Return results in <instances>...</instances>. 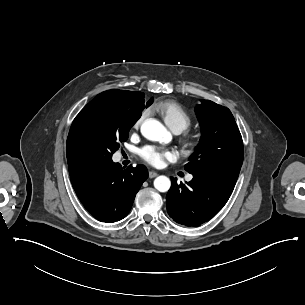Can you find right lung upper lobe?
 <instances>
[{
	"instance_id": "right-lung-upper-lobe-1",
	"label": "right lung upper lobe",
	"mask_w": 305,
	"mask_h": 305,
	"mask_svg": "<svg viewBox=\"0 0 305 305\" xmlns=\"http://www.w3.org/2000/svg\"><path fill=\"white\" fill-rule=\"evenodd\" d=\"M144 103V94L142 92L108 90L97 95L90 103L85 106V109L92 108L94 109L96 115L105 117L119 112H135L143 107L145 108ZM66 152L69 168L78 165L74 163L70 158L69 135L67 139Z\"/></svg>"
}]
</instances>
